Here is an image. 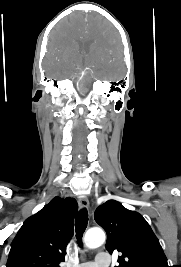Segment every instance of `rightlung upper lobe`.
Segmentation results:
<instances>
[{"label":"right lung upper lobe","instance_id":"obj_1","mask_svg":"<svg viewBox=\"0 0 181 267\" xmlns=\"http://www.w3.org/2000/svg\"><path fill=\"white\" fill-rule=\"evenodd\" d=\"M74 198L55 197L25 220L11 244L6 267H59L73 236Z\"/></svg>","mask_w":181,"mask_h":267}]
</instances>
